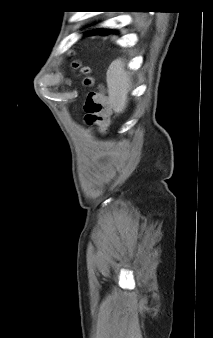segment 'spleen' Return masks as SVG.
I'll return each mask as SVG.
<instances>
[{"instance_id": "3e777b00", "label": "spleen", "mask_w": 213, "mask_h": 338, "mask_svg": "<svg viewBox=\"0 0 213 338\" xmlns=\"http://www.w3.org/2000/svg\"><path fill=\"white\" fill-rule=\"evenodd\" d=\"M109 102L117 113H122L128 103V93L132 86L129 73L125 69L123 59L113 61L106 73Z\"/></svg>"}]
</instances>
